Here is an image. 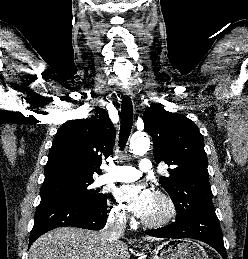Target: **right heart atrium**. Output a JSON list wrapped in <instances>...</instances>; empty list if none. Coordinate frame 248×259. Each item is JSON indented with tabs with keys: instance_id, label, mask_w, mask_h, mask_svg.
<instances>
[{
	"instance_id": "obj_1",
	"label": "right heart atrium",
	"mask_w": 248,
	"mask_h": 259,
	"mask_svg": "<svg viewBox=\"0 0 248 259\" xmlns=\"http://www.w3.org/2000/svg\"><path fill=\"white\" fill-rule=\"evenodd\" d=\"M110 214L115 221L120 223L125 222L127 219V213H126L125 207L120 203L112 207Z\"/></svg>"
}]
</instances>
